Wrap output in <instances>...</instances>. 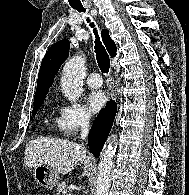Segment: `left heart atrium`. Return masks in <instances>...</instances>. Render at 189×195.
Here are the masks:
<instances>
[{
  "instance_id": "obj_1",
  "label": "left heart atrium",
  "mask_w": 189,
  "mask_h": 195,
  "mask_svg": "<svg viewBox=\"0 0 189 195\" xmlns=\"http://www.w3.org/2000/svg\"><path fill=\"white\" fill-rule=\"evenodd\" d=\"M107 97L101 90L91 91L87 96V103L92 113L98 112L106 103Z\"/></svg>"
}]
</instances>
